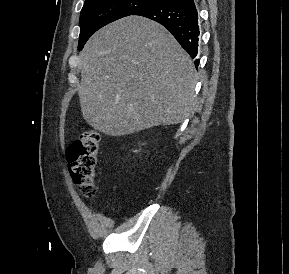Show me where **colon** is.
I'll return each instance as SVG.
<instances>
[{
  "label": "colon",
  "instance_id": "5ec220e1",
  "mask_svg": "<svg viewBox=\"0 0 289 274\" xmlns=\"http://www.w3.org/2000/svg\"><path fill=\"white\" fill-rule=\"evenodd\" d=\"M100 135L93 129L83 131L67 149L70 172L81 193L90 198L95 193V171Z\"/></svg>",
  "mask_w": 289,
  "mask_h": 274
}]
</instances>
